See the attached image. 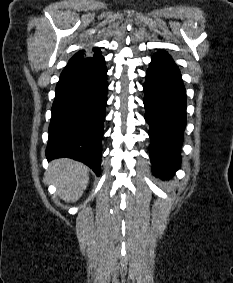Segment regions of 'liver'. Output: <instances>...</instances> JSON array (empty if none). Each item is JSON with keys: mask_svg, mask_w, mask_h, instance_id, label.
<instances>
[{"mask_svg": "<svg viewBox=\"0 0 233 283\" xmlns=\"http://www.w3.org/2000/svg\"><path fill=\"white\" fill-rule=\"evenodd\" d=\"M48 180L55 184L58 195L67 202L77 201L89 182L86 165L68 158H60L50 163Z\"/></svg>", "mask_w": 233, "mask_h": 283, "instance_id": "6515ba94", "label": "liver"}]
</instances>
